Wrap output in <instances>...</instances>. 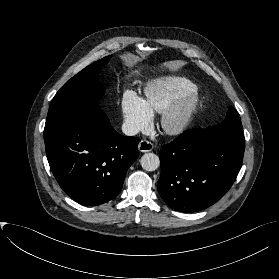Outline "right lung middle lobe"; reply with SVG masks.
Returning <instances> with one entry per match:
<instances>
[{"label": "right lung middle lobe", "mask_w": 279, "mask_h": 279, "mask_svg": "<svg viewBox=\"0 0 279 279\" xmlns=\"http://www.w3.org/2000/svg\"><path fill=\"white\" fill-rule=\"evenodd\" d=\"M110 59L104 57L87 66L68 80L53 98L47 114L45 128L57 123L84 102L93 101L104 94L97 72Z\"/></svg>", "instance_id": "obj_1"}]
</instances>
